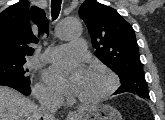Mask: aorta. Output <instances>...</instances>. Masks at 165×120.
<instances>
[{"label": "aorta", "mask_w": 165, "mask_h": 120, "mask_svg": "<svg viewBox=\"0 0 165 120\" xmlns=\"http://www.w3.org/2000/svg\"><path fill=\"white\" fill-rule=\"evenodd\" d=\"M82 25L78 19L69 18L63 21L58 35L63 39L78 37L81 34Z\"/></svg>", "instance_id": "obj_1"}]
</instances>
